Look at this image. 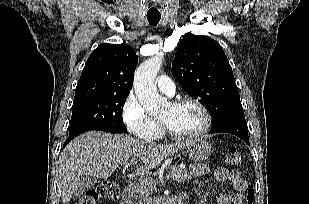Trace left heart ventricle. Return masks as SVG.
Returning <instances> with one entry per match:
<instances>
[{"mask_svg":"<svg viewBox=\"0 0 309 204\" xmlns=\"http://www.w3.org/2000/svg\"><path fill=\"white\" fill-rule=\"evenodd\" d=\"M159 119L179 134L194 133L203 125V115L200 109L193 104H184L179 107L168 104L159 115Z\"/></svg>","mask_w":309,"mask_h":204,"instance_id":"left-heart-ventricle-1","label":"left heart ventricle"}]
</instances>
